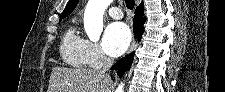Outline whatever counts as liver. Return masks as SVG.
<instances>
[{
  "mask_svg": "<svg viewBox=\"0 0 225 92\" xmlns=\"http://www.w3.org/2000/svg\"><path fill=\"white\" fill-rule=\"evenodd\" d=\"M112 80L103 70L54 67L47 92H111Z\"/></svg>",
  "mask_w": 225,
  "mask_h": 92,
  "instance_id": "1",
  "label": "liver"
}]
</instances>
